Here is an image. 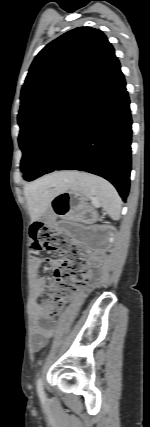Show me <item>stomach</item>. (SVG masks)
<instances>
[{"mask_svg": "<svg viewBox=\"0 0 150 427\" xmlns=\"http://www.w3.org/2000/svg\"><path fill=\"white\" fill-rule=\"evenodd\" d=\"M83 194L72 188L57 192L51 200V210L63 219L81 220L88 211V206Z\"/></svg>", "mask_w": 150, "mask_h": 427, "instance_id": "1", "label": "stomach"}]
</instances>
